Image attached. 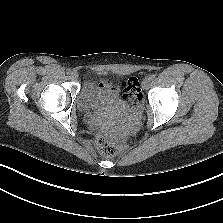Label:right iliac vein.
<instances>
[{
    "label": "right iliac vein",
    "mask_w": 223,
    "mask_h": 223,
    "mask_svg": "<svg viewBox=\"0 0 223 223\" xmlns=\"http://www.w3.org/2000/svg\"><path fill=\"white\" fill-rule=\"evenodd\" d=\"M78 73L76 72V71H72L71 72V77L73 78V79H77L78 78Z\"/></svg>",
    "instance_id": "obj_1"
}]
</instances>
